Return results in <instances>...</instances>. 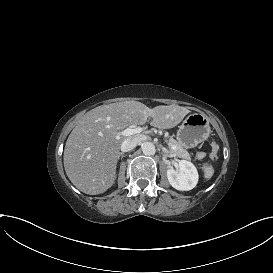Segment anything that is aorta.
I'll list each match as a JSON object with an SVG mask.
<instances>
[{
    "mask_svg": "<svg viewBox=\"0 0 273 273\" xmlns=\"http://www.w3.org/2000/svg\"><path fill=\"white\" fill-rule=\"evenodd\" d=\"M141 149L145 155H153L156 152L155 146L151 142H143L141 144Z\"/></svg>",
    "mask_w": 273,
    "mask_h": 273,
    "instance_id": "aorta-1",
    "label": "aorta"
}]
</instances>
